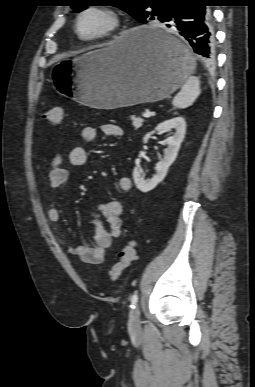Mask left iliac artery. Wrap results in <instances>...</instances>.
<instances>
[{"instance_id":"1","label":"left iliac artery","mask_w":255,"mask_h":387,"mask_svg":"<svg viewBox=\"0 0 255 387\" xmlns=\"http://www.w3.org/2000/svg\"><path fill=\"white\" fill-rule=\"evenodd\" d=\"M137 301H138V295L137 293H135L131 296V308H135Z\"/></svg>"}]
</instances>
